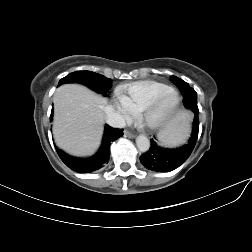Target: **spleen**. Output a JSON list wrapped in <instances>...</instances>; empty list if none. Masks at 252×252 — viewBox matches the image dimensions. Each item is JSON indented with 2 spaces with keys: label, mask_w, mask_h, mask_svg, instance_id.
Wrapping results in <instances>:
<instances>
[{
  "label": "spleen",
  "mask_w": 252,
  "mask_h": 252,
  "mask_svg": "<svg viewBox=\"0 0 252 252\" xmlns=\"http://www.w3.org/2000/svg\"><path fill=\"white\" fill-rule=\"evenodd\" d=\"M189 124L185 114H179L172 120L165 131L159 133V139L167 146H175L185 141L188 136Z\"/></svg>",
  "instance_id": "spleen-1"
}]
</instances>
